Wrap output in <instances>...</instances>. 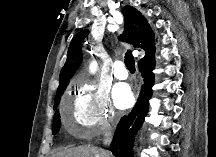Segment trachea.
Segmentation results:
<instances>
[{
  "label": "trachea",
  "instance_id": "3493384b",
  "mask_svg": "<svg viewBox=\"0 0 216 157\" xmlns=\"http://www.w3.org/2000/svg\"><path fill=\"white\" fill-rule=\"evenodd\" d=\"M125 65L130 72H135V60L130 50L125 54Z\"/></svg>",
  "mask_w": 216,
  "mask_h": 157
}]
</instances>
